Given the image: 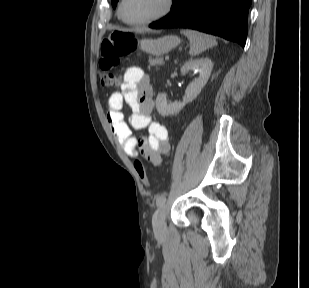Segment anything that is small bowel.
<instances>
[{
    "instance_id": "c3829d8e",
    "label": "small bowel",
    "mask_w": 309,
    "mask_h": 288,
    "mask_svg": "<svg viewBox=\"0 0 309 288\" xmlns=\"http://www.w3.org/2000/svg\"><path fill=\"white\" fill-rule=\"evenodd\" d=\"M131 108L127 123L122 108ZM155 108L153 90L148 76L138 67H128L121 78L120 91L110 95L107 102V120L114 136L124 152L133 158L142 154L153 165L161 164V157L170 151L167 128L152 120ZM131 128L147 129L148 134L141 139L132 135Z\"/></svg>"
}]
</instances>
